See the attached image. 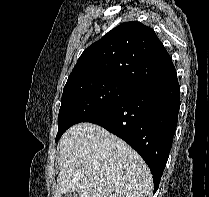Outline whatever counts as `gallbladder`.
Instances as JSON below:
<instances>
[{
  "label": "gallbladder",
  "mask_w": 209,
  "mask_h": 197,
  "mask_svg": "<svg viewBox=\"0 0 209 197\" xmlns=\"http://www.w3.org/2000/svg\"><path fill=\"white\" fill-rule=\"evenodd\" d=\"M63 197H80V195L77 192H71V193L66 194Z\"/></svg>",
  "instance_id": "1"
}]
</instances>
